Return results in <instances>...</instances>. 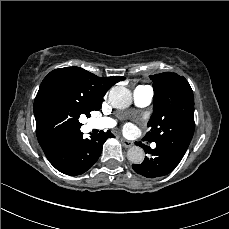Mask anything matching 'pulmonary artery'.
I'll use <instances>...</instances> for the list:
<instances>
[{
    "label": "pulmonary artery",
    "mask_w": 229,
    "mask_h": 229,
    "mask_svg": "<svg viewBox=\"0 0 229 229\" xmlns=\"http://www.w3.org/2000/svg\"><path fill=\"white\" fill-rule=\"evenodd\" d=\"M134 103L138 107H146L151 104L153 100V90L150 86L140 85L133 91ZM89 125L94 129L105 130L111 128L114 122L110 119H91ZM155 147V145H152Z\"/></svg>",
    "instance_id": "e3ab8cb5"
}]
</instances>
